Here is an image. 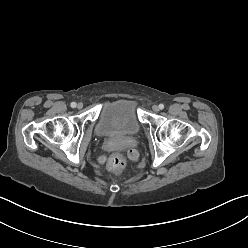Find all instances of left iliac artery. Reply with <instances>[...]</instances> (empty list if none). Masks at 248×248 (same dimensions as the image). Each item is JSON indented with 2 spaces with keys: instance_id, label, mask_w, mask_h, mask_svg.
Instances as JSON below:
<instances>
[{
  "instance_id": "left-iliac-artery-1",
  "label": "left iliac artery",
  "mask_w": 248,
  "mask_h": 248,
  "mask_svg": "<svg viewBox=\"0 0 248 248\" xmlns=\"http://www.w3.org/2000/svg\"><path fill=\"white\" fill-rule=\"evenodd\" d=\"M159 108L162 110L164 109V105L163 104H159Z\"/></svg>"
}]
</instances>
